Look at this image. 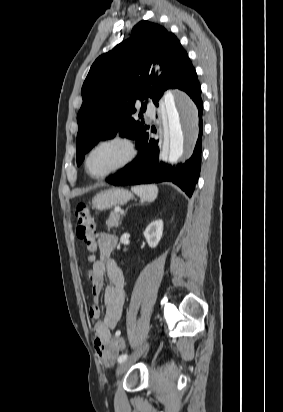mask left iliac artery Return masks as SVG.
I'll use <instances>...</instances> for the list:
<instances>
[{
    "label": "left iliac artery",
    "mask_w": 283,
    "mask_h": 412,
    "mask_svg": "<svg viewBox=\"0 0 283 412\" xmlns=\"http://www.w3.org/2000/svg\"><path fill=\"white\" fill-rule=\"evenodd\" d=\"M127 358H128V355H127V354H123V355H121V356L118 358V362H119V363H122V362H124Z\"/></svg>",
    "instance_id": "1"
}]
</instances>
